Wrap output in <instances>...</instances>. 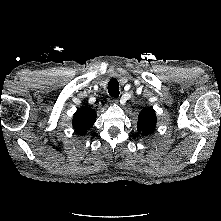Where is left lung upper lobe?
<instances>
[{
	"label": "left lung upper lobe",
	"mask_w": 221,
	"mask_h": 221,
	"mask_svg": "<svg viewBox=\"0 0 221 221\" xmlns=\"http://www.w3.org/2000/svg\"><path fill=\"white\" fill-rule=\"evenodd\" d=\"M156 123L157 117L155 111L150 108H145L139 113L137 131L144 136H148L155 130Z\"/></svg>",
	"instance_id": "1"
}]
</instances>
